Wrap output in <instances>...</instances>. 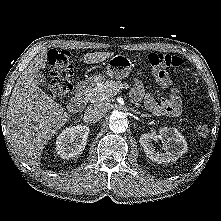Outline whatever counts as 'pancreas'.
Returning <instances> with one entry per match:
<instances>
[{"label": "pancreas", "mask_w": 221, "mask_h": 221, "mask_svg": "<svg viewBox=\"0 0 221 221\" xmlns=\"http://www.w3.org/2000/svg\"><path fill=\"white\" fill-rule=\"evenodd\" d=\"M127 84H122L120 81L106 80L95 85L89 89L87 98L93 103H101L104 101H110L112 97L124 88H127Z\"/></svg>", "instance_id": "obj_1"}]
</instances>
